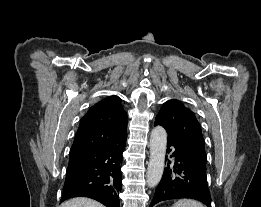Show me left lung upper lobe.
Wrapping results in <instances>:
<instances>
[{"instance_id": "5c2ea615", "label": "left lung upper lobe", "mask_w": 261, "mask_h": 207, "mask_svg": "<svg viewBox=\"0 0 261 207\" xmlns=\"http://www.w3.org/2000/svg\"><path fill=\"white\" fill-rule=\"evenodd\" d=\"M154 125L163 126L168 141L197 162L206 165L207 156L201 126L194 112L178 100L165 102L156 116Z\"/></svg>"}]
</instances>
